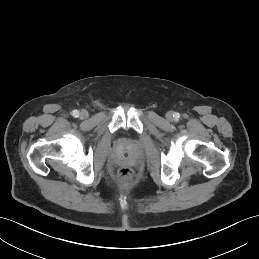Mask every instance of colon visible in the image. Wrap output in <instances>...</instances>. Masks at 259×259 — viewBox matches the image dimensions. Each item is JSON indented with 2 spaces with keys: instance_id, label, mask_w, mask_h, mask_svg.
Wrapping results in <instances>:
<instances>
[{
  "instance_id": "colon-1",
  "label": "colon",
  "mask_w": 259,
  "mask_h": 259,
  "mask_svg": "<svg viewBox=\"0 0 259 259\" xmlns=\"http://www.w3.org/2000/svg\"><path fill=\"white\" fill-rule=\"evenodd\" d=\"M119 181L124 185L132 184L134 181V174L129 168H123L119 171Z\"/></svg>"
}]
</instances>
